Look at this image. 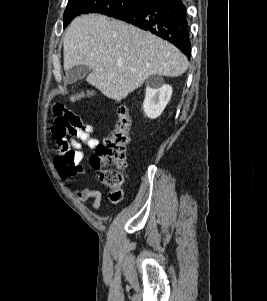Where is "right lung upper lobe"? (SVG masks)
I'll return each mask as SVG.
<instances>
[{
    "label": "right lung upper lobe",
    "mask_w": 267,
    "mask_h": 301,
    "mask_svg": "<svg viewBox=\"0 0 267 301\" xmlns=\"http://www.w3.org/2000/svg\"><path fill=\"white\" fill-rule=\"evenodd\" d=\"M145 3H147V2H149V1H151V0H143Z\"/></svg>",
    "instance_id": "right-lung-upper-lobe-1"
}]
</instances>
